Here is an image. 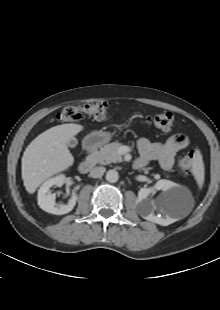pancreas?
I'll use <instances>...</instances> for the list:
<instances>
[{"label":"pancreas","instance_id":"cf45deb5","mask_svg":"<svg viewBox=\"0 0 220 310\" xmlns=\"http://www.w3.org/2000/svg\"><path fill=\"white\" fill-rule=\"evenodd\" d=\"M121 146L119 142H112L105 145L100 150L95 151L90 155V158L94 159L96 163L106 165L112 162H121L122 156L118 153V149Z\"/></svg>","mask_w":220,"mask_h":310}]
</instances>
